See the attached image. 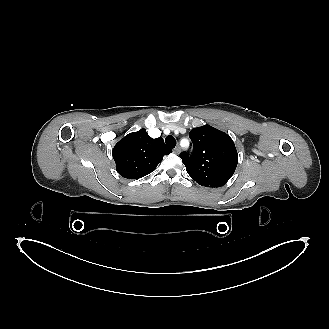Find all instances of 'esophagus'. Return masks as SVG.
<instances>
[{"instance_id":"1","label":"esophagus","mask_w":329,"mask_h":329,"mask_svg":"<svg viewBox=\"0 0 329 329\" xmlns=\"http://www.w3.org/2000/svg\"><path fill=\"white\" fill-rule=\"evenodd\" d=\"M180 147L179 146H177V147H175L174 149H173V152L175 153V154H180Z\"/></svg>"}]
</instances>
